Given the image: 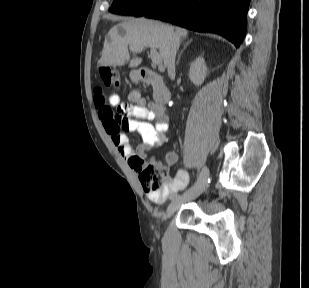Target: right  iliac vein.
Masks as SVG:
<instances>
[{"label":"right iliac vein","instance_id":"1","mask_svg":"<svg viewBox=\"0 0 309 288\" xmlns=\"http://www.w3.org/2000/svg\"><path fill=\"white\" fill-rule=\"evenodd\" d=\"M208 173H209L208 168L204 166L199 173V177L197 180V188L194 189L191 193L179 195L177 199L172 200L167 209V217L173 214L179 208V206L182 203H184L187 199L200 194V190L205 184V181L208 177Z\"/></svg>","mask_w":309,"mask_h":288}]
</instances>
